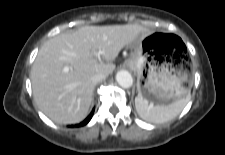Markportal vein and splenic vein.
Returning a JSON list of instances; mask_svg holds the SVG:
<instances>
[{
    "mask_svg": "<svg viewBox=\"0 0 225 155\" xmlns=\"http://www.w3.org/2000/svg\"><path fill=\"white\" fill-rule=\"evenodd\" d=\"M101 54V52H98L97 55L99 56Z\"/></svg>",
    "mask_w": 225,
    "mask_h": 155,
    "instance_id": "portal-vein-and-splenic-vein-1",
    "label": "portal vein and splenic vein"
}]
</instances>
